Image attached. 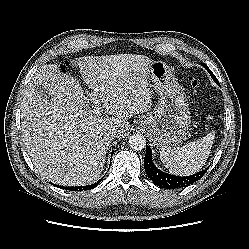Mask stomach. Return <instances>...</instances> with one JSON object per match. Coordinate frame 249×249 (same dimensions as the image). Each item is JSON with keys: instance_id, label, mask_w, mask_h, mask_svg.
<instances>
[{"instance_id": "stomach-1", "label": "stomach", "mask_w": 249, "mask_h": 249, "mask_svg": "<svg viewBox=\"0 0 249 249\" xmlns=\"http://www.w3.org/2000/svg\"><path fill=\"white\" fill-rule=\"evenodd\" d=\"M148 77L154 83L159 101L154 111L139 121L150 132L158 147L180 143L191 122L188 103L173 70L162 61L148 65Z\"/></svg>"}]
</instances>
